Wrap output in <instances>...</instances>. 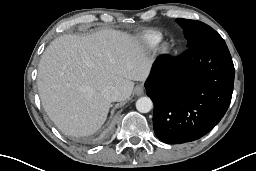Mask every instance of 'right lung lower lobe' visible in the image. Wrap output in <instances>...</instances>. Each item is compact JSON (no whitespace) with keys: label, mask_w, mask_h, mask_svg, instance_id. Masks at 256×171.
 <instances>
[{"label":"right lung lower lobe","mask_w":256,"mask_h":171,"mask_svg":"<svg viewBox=\"0 0 256 171\" xmlns=\"http://www.w3.org/2000/svg\"><path fill=\"white\" fill-rule=\"evenodd\" d=\"M109 129H110V128L108 127V128L106 129V131L104 132V134H106V133L109 131Z\"/></svg>","instance_id":"1"}]
</instances>
